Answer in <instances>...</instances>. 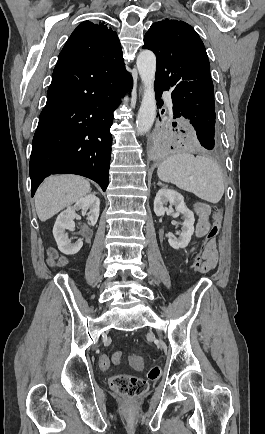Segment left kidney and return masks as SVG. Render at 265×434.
Wrapping results in <instances>:
<instances>
[{
  "label": "left kidney",
  "instance_id": "5707ae66",
  "mask_svg": "<svg viewBox=\"0 0 265 434\" xmlns=\"http://www.w3.org/2000/svg\"><path fill=\"white\" fill-rule=\"evenodd\" d=\"M166 204L170 206H175L177 214H182L184 222H182L181 232H179L180 238H169L168 242L171 248L174 250H179V248H186L188 246L191 236L194 234V214L190 212L185 206L184 198L175 190H167V188H162L156 194L154 200V212L156 216H164V214H172V210L166 208Z\"/></svg>",
  "mask_w": 265,
  "mask_h": 434
}]
</instances>
